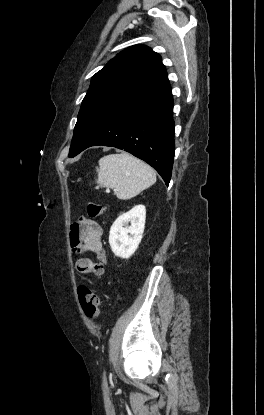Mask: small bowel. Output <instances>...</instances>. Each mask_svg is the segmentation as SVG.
I'll return each instance as SVG.
<instances>
[{
    "label": "small bowel",
    "mask_w": 264,
    "mask_h": 415,
    "mask_svg": "<svg viewBox=\"0 0 264 415\" xmlns=\"http://www.w3.org/2000/svg\"><path fill=\"white\" fill-rule=\"evenodd\" d=\"M103 231L101 226L91 219H80L71 227L70 242L77 246L82 254H93L100 262L99 274L102 273V265L107 261L103 245Z\"/></svg>",
    "instance_id": "c3829d8e"
}]
</instances>
